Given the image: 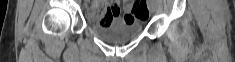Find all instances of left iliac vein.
<instances>
[{
	"label": "left iliac vein",
	"mask_w": 235,
	"mask_h": 62,
	"mask_svg": "<svg viewBox=\"0 0 235 62\" xmlns=\"http://www.w3.org/2000/svg\"><path fill=\"white\" fill-rule=\"evenodd\" d=\"M155 10H156L155 4L151 3V4L149 5V11H150L151 13H154Z\"/></svg>",
	"instance_id": "obj_1"
}]
</instances>
